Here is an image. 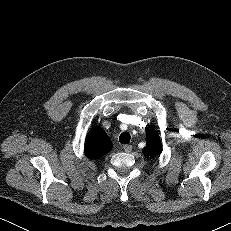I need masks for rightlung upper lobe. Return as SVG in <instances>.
Here are the masks:
<instances>
[{
  "label": "right lung upper lobe",
  "mask_w": 231,
  "mask_h": 231,
  "mask_svg": "<svg viewBox=\"0 0 231 231\" xmlns=\"http://www.w3.org/2000/svg\"><path fill=\"white\" fill-rule=\"evenodd\" d=\"M112 149V142L101 127L92 128L86 137L84 153L90 160H97Z\"/></svg>",
  "instance_id": "right-lung-upper-lobe-1"
}]
</instances>
